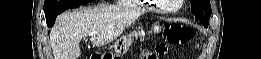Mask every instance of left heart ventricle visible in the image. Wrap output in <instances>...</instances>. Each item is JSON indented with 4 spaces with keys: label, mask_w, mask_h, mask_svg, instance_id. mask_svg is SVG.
Returning <instances> with one entry per match:
<instances>
[{
    "label": "left heart ventricle",
    "mask_w": 261,
    "mask_h": 59,
    "mask_svg": "<svg viewBox=\"0 0 261 59\" xmlns=\"http://www.w3.org/2000/svg\"><path fill=\"white\" fill-rule=\"evenodd\" d=\"M162 3L168 8H175L178 6V0H163Z\"/></svg>",
    "instance_id": "left-heart-ventricle-1"
}]
</instances>
